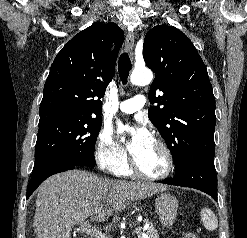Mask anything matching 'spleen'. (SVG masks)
Returning a JSON list of instances; mask_svg holds the SVG:
<instances>
[{
	"mask_svg": "<svg viewBox=\"0 0 247 238\" xmlns=\"http://www.w3.org/2000/svg\"><path fill=\"white\" fill-rule=\"evenodd\" d=\"M201 220L204 224V227L209 231H214L218 227V220L213 213V211L209 208H203L200 212Z\"/></svg>",
	"mask_w": 247,
	"mask_h": 238,
	"instance_id": "3e777b00",
	"label": "spleen"
}]
</instances>
